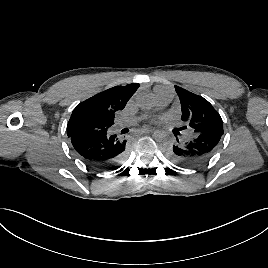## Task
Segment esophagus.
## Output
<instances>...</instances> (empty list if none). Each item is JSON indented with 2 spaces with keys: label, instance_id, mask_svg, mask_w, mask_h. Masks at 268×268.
Here are the masks:
<instances>
[{
  "label": "esophagus",
  "instance_id": "esophagus-1",
  "mask_svg": "<svg viewBox=\"0 0 268 268\" xmlns=\"http://www.w3.org/2000/svg\"><path fill=\"white\" fill-rule=\"evenodd\" d=\"M152 131L153 130L146 131V136H152Z\"/></svg>",
  "mask_w": 268,
  "mask_h": 268
}]
</instances>
